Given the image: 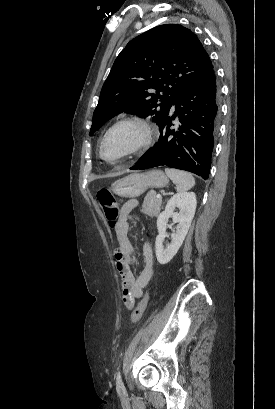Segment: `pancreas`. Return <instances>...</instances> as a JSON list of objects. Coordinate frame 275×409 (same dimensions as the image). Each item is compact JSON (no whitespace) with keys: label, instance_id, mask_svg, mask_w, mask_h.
<instances>
[{"label":"pancreas","instance_id":"cf45deb5","mask_svg":"<svg viewBox=\"0 0 275 409\" xmlns=\"http://www.w3.org/2000/svg\"><path fill=\"white\" fill-rule=\"evenodd\" d=\"M162 198H157L155 192H147L142 205L141 213L149 217H158L160 213Z\"/></svg>","mask_w":275,"mask_h":409}]
</instances>
